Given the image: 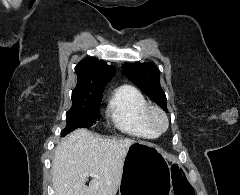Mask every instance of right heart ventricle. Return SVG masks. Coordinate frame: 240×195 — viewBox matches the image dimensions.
Masks as SVG:
<instances>
[{
    "label": "right heart ventricle",
    "instance_id": "e07e8e85",
    "mask_svg": "<svg viewBox=\"0 0 240 195\" xmlns=\"http://www.w3.org/2000/svg\"><path fill=\"white\" fill-rule=\"evenodd\" d=\"M148 102L144 95L132 86L117 89L109 100L106 117L118 131L137 138H155L157 132L146 122Z\"/></svg>",
    "mask_w": 240,
    "mask_h": 195
}]
</instances>
